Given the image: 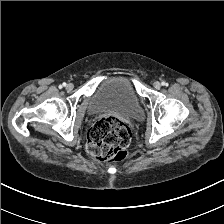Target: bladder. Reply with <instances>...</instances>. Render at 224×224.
<instances>
[{"label": "bladder", "mask_w": 224, "mask_h": 224, "mask_svg": "<svg viewBox=\"0 0 224 224\" xmlns=\"http://www.w3.org/2000/svg\"><path fill=\"white\" fill-rule=\"evenodd\" d=\"M88 112H115L128 118H142L139 96L131 81L123 75L110 76L99 82L90 97Z\"/></svg>", "instance_id": "bladder-1"}]
</instances>
